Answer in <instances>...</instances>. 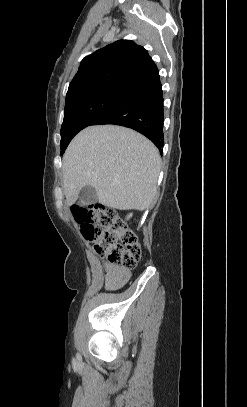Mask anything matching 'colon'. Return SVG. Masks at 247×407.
Instances as JSON below:
<instances>
[{"mask_svg":"<svg viewBox=\"0 0 247 407\" xmlns=\"http://www.w3.org/2000/svg\"><path fill=\"white\" fill-rule=\"evenodd\" d=\"M72 213L83 237L112 264L133 269L141 257L137 237L111 208L102 204L73 206Z\"/></svg>","mask_w":247,"mask_h":407,"instance_id":"colon-1","label":"colon"}]
</instances>
